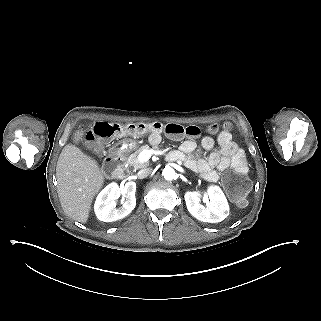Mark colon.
Returning <instances> with one entry per match:
<instances>
[{
	"label": "colon",
	"instance_id": "1",
	"mask_svg": "<svg viewBox=\"0 0 321 321\" xmlns=\"http://www.w3.org/2000/svg\"><path fill=\"white\" fill-rule=\"evenodd\" d=\"M220 127L228 129L227 123L220 126L218 123H213L208 127L211 133L217 132ZM146 132L165 133L171 137H198L200 129L195 125L181 126L176 123L162 124L154 123H131L119 124L116 122H97L94 127L87 132L85 140L92 148H99L101 144L114 137L123 135H141ZM222 185L226 193L237 203L243 204L246 201V196L250 188V180L243 171L234 170L224 175Z\"/></svg>",
	"mask_w": 321,
	"mask_h": 321
}]
</instances>
